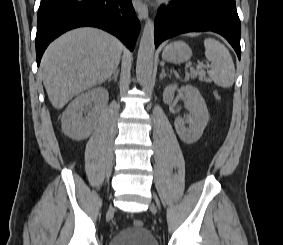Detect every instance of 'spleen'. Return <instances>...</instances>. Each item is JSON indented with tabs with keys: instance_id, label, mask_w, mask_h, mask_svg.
<instances>
[{
	"instance_id": "spleen-1",
	"label": "spleen",
	"mask_w": 283,
	"mask_h": 245,
	"mask_svg": "<svg viewBox=\"0 0 283 245\" xmlns=\"http://www.w3.org/2000/svg\"><path fill=\"white\" fill-rule=\"evenodd\" d=\"M205 56L211 62L209 76L220 87L228 88L234 83L235 66L228 49L216 39L204 40Z\"/></svg>"
}]
</instances>
